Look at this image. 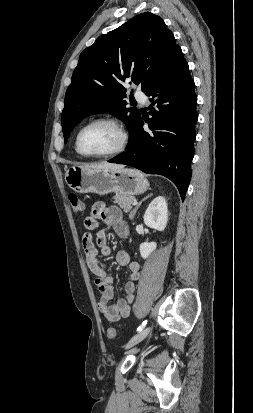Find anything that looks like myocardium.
<instances>
[{
  "label": "myocardium",
  "instance_id": "f54148a6",
  "mask_svg": "<svg viewBox=\"0 0 253 413\" xmlns=\"http://www.w3.org/2000/svg\"><path fill=\"white\" fill-rule=\"evenodd\" d=\"M98 123H105V124H109L113 126L120 134V142L118 146L112 151L100 153V154H87L81 150L80 137L86 128H88L91 125L98 124ZM128 143H129V134L126 128L124 127V125L119 120L112 118V117H98V118H94L90 120L78 130L76 134V138H75V149L78 154L86 158H106V157L116 156L122 153L127 148Z\"/></svg>",
  "mask_w": 253,
  "mask_h": 413
}]
</instances>
